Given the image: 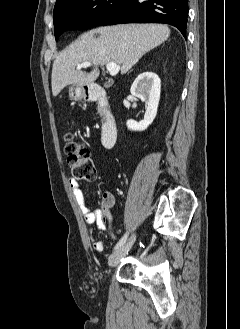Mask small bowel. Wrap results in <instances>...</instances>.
<instances>
[{
	"label": "small bowel",
	"mask_w": 240,
	"mask_h": 329,
	"mask_svg": "<svg viewBox=\"0 0 240 329\" xmlns=\"http://www.w3.org/2000/svg\"><path fill=\"white\" fill-rule=\"evenodd\" d=\"M69 186L82 211L84 221L90 227V232H92V226L96 225L100 230H107L110 236L116 239L112 228L113 218L109 210L113 204L112 199L108 198L102 207L91 210L86 206L81 185L77 181L69 179ZM92 245L96 252H101L104 248L103 242L96 239H92Z\"/></svg>",
	"instance_id": "1"
}]
</instances>
